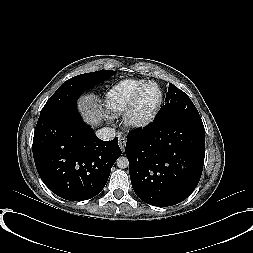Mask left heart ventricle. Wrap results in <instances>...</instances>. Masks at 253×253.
<instances>
[{
    "instance_id": "b2bd125f",
    "label": "left heart ventricle",
    "mask_w": 253,
    "mask_h": 253,
    "mask_svg": "<svg viewBox=\"0 0 253 253\" xmlns=\"http://www.w3.org/2000/svg\"><path fill=\"white\" fill-rule=\"evenodd\" d=\"M160 99V92L154 85L145 88L141 95L140 105L138 109L139 116H147L156 107Z\"/></svg>"
}]
</instances>
